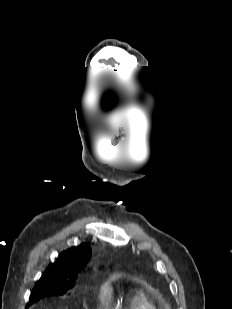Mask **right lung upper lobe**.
<instances>
[{
  "instance_id": "obj_1",
  "label": "right lung upper lobe",
  "mask_w": 232,
  "mask_h": 309,
  "mask_svg": "<svg viewBox=\"0 0 232 309\" xmlns=\"http://www.w3.org/2000/svg\"><path fill=\"white\" fill-rule=\"evenodd\" d=\"M91 257V248L87 243L72 247L59 254L56 262L42 274L39 281H74L76 272L81 270Z\"/></svg>"
}]
</instances>
